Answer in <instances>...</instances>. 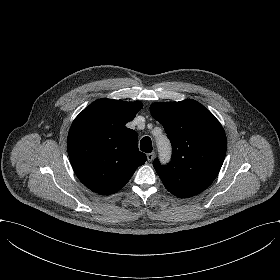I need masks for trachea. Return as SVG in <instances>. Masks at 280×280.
I'll list each match as a JSON object with an SVG mask.
<instances>
[{
    "instance_id": "3493384b",
    "label": "trachea",
    "mask_w": 280,
    "mask_h": 280,
    "mask_svg": "<svg viewBox=\"0 0 280 280\" xmlns=\"http://www.w3.org/2000/svg\"><path fill=\"white\" fill-rule=\"evenodd\" d=\"M140 148L143 152H152V142L150 137H143L140 142Z\"/></svg>"
}]
</instances>
